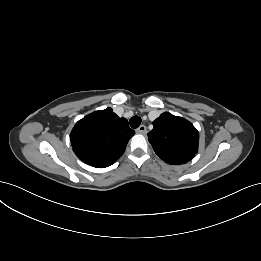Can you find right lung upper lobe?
<instances>
[{
	"label": "right lung upper lobe",
	"mask_w": 261,
	"mask_h": 261,
	"mask_svg": "<svg viewBox=\"0 0 261 261\" xmlns=\"http://www.w3.org/2000/svg\"><path fill=\"white\" fill-rule=\"evenodd\" d=\"M134 134L127 119L106 108L79 120L70 134V141L81 161L96 168H105L123 155Z\"/></svg>",
	"instance_id": "obj_1"
}]
</instances>
